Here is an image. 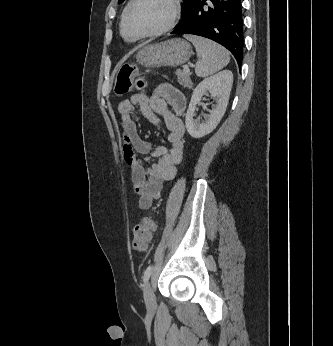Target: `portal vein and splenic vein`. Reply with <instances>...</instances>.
Segmentation results:
<instances>
[{
  "instance_id": "1",
  "label": "portal vein and splenic vein",
  "mask_w": 333,
  "mask_h": 346,
  "mask_svg": "<svg viewBox=\"0 0 333 346\" xmlns=\"http://www.w3.org/2000/svg\"><path fill=\"white\" fill-rule=\"evenodd\" d=\"M185 73H189L190 72V69L188 67L184 68L183 70Z\"/></svg>"
}]
</instances>
